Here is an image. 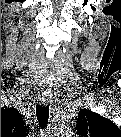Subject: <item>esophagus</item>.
<instances>
[{
  "mask_svg": "<svg viewBox=\"0 0 121 137\" xmlns=\"http://www.w3.org/2000/svg\"><path fill=\"white\" fill-rule=\"evenodd\" d=\"M51 98V92L50 90H44L42 92V95L40 96V101L42 104H47L50 101Z\"/></svg>",
  "mask_w": 121,
  "mask_h": 137,
  "instance_id": "34e87169",
  "label": "esophagus"
}]
</instances>
